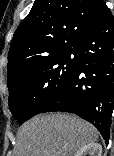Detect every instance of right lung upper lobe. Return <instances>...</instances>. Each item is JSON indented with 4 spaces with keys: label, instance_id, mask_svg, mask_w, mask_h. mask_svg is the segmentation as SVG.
I'll list each match as a JSON object with an SVG mask.
<instances>
[{
    "label": "right lung upper lobe",
    "instance_id": "right-lung-upper-lobe-1",
    "mask_svg": "<svg viewBox=\"0 0 114 156\" xmlns=\"http://www.w3.org/2000/svg\"><path fill=\"white\" fill-rule=\"evenodd\" d=\"M108 10L102 0H36L14 33L7 85L40 62L75 48Z\"/></svg>",
    "mask_w": 114,
    "mask_h": 156
}]
</instances>
